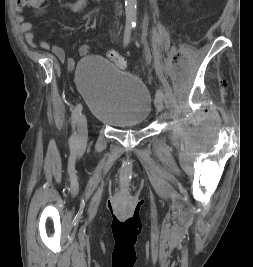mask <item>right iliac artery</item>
I'll return each instance as SVG.
<instances>
[{
	"mask_svg": "<svg viewBox=\"0 0 253 267\" xmlns=\"http://www.w3.org/2000/svg\"><path fill=\"white\" fill-rule=\"evenodd\" d=\"M129 39H130V29H127L124 35V45H127L129 43ZM81 111H82V104H78L75 106V108L72 111L71 114V120H72V127L74 129L71 137H70V146L71 147H75L78 141V136L75 132V125L77 123L78 117L81 115Z\"/></svg>",
	"mask_w": 253,
	"mask_h": 267,
	"instance_id": "right-iliac-artery-1",
	"label": "right iliac artery"
}]
</instances>
